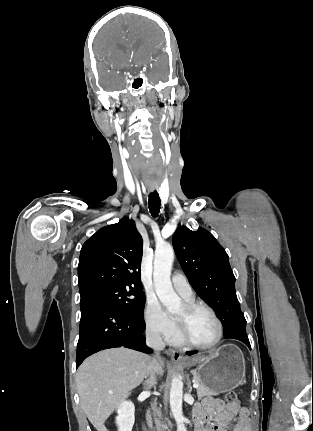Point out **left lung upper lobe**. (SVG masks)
<instances>
[{
    "instance_id": "1",
    "label": "left lung upper lobe",
    "mask_w": 313,
    "mask_h": 431,
    "mask_svg": "<svg viewBox=\"0 0 313 431\" xmlns=\"http://www.w3.org/2000/svg\"><path fill=\"white\" fill-rule=\"evenodd\" d=\"M172 243L191 286L220 319L224 336L234 331H246L229 258L215 237L202 228L192 231L179 226Z\"/></svg>"
}]
</instances>
